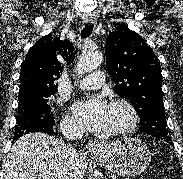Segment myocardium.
<instances>
[{
    "mask_svg": "<svg viewBox=\"0 0 183 179\" xmlns=\"http://www.w3.org/2000/svg\"><path fill=\"white\" fill-rule=\"evenodd\" d=\"M109 106H120L125 108L128 112V121L118 128L107 131V134L113 136L123 135L132 132L136 128L139 121V115L135 106L129 100L124 98L112 99Z\"/></svg>",
    "mask_w": 183,
    "mask_h": 179,
    "instance_id": "myocardium-1",
    "label": "myocardium"
}]
</instances>
